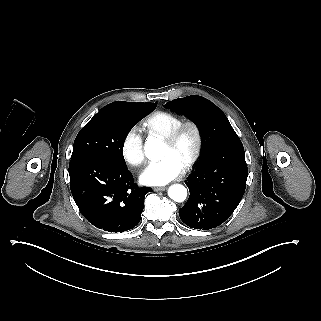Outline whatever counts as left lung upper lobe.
Wrapping results in <instances>:
<instances>
[{"instance_id": "obj_1", "label": "left lung upper lobe", "mask_w": 321, "mask_h": 321, "mask_svg": "<svg viewBox=\"0 0 321 321\" xmlns=\"http://www.w3.org/2000/svg\"><path fill=\"white\" fill-rule=\"evenodd\" d=\"M164 107L185 115L197 125L202 139L201 160L223 145L240 142L223 111L204 97L174 99Z\"/></svg>"}]
</instances>
